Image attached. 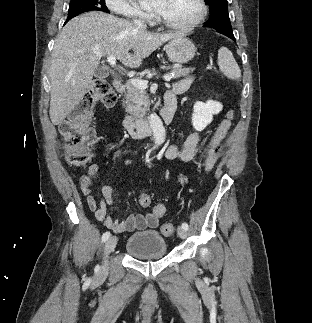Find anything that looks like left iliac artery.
Returning <instances> with one entry per match:
<instances>
[{"label": "left iliac artery", "mask_w": 312, "mask_h": 323, "mask_svg": "<svg viewBox=\"0 0 312 323\" xmlns=\"http://www.w3.org/2000/svg\"><path fill=\"white\" fill-rule=\"evenodd\" d=\"M182 228H184L185 230H188V228H189V227H188V224H187V223H183V224H182Z\"/></svg>", "instance_id": "obj_1"}]
</instances>
